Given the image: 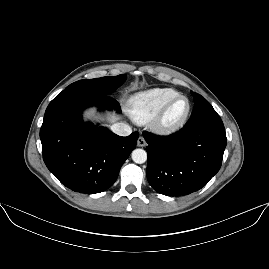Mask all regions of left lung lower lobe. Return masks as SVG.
Masks as SVG:
<instances>
[{"mask_svg": "<svg viewBox=\"0 0 269 269\" xmlns=\"http://www.w3.org/2000/svg\"><path fill=\"white\" fill-rule=\"evenodd\" d=\"M149 184L158 193L182 196L198 191L219 171L227 144L221 120L183 127L169 136L144 132Z\"/></svg>", "mask_w": 269, "mask_h": 269, "instance_id": "1", "label": "left lung lower lobe"}]
</instances>
